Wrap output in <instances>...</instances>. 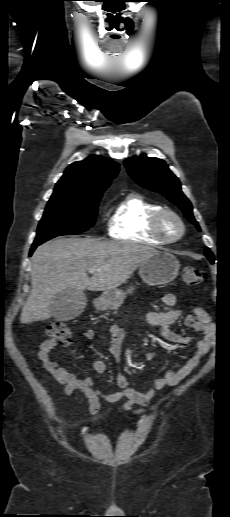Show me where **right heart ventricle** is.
<instances>
[{
  "instance_id": "1",
  "label": "right heart ventricle",
  "mask_w": 230,
  "mask_h": 517,
  "mask_svg": "<svg viewBox=\"0 0 230 517\" xmlns=\"http://www.w3.org/2000/svg\"><path fill=\"white\" fill-rule=\"evenodd\" d=\"M162 206L141 193L131 192L116 205L109 224V235L117 240L152 245L164 242L151 231L152 216Z\"/></svg>"
}]
</instances>
